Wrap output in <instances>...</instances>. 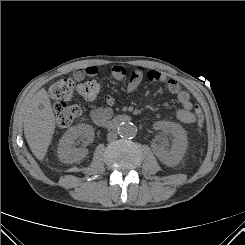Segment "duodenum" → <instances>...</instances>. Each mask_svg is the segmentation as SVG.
<instances>
[{
    "label": "duodenum",
    "instance_id": "obj_1",
    "mask_svg": "<svg viewBox=\"0 0 245 245\" xmlns=\"http://www.w3.org/2000/svg\"><path fill=\"white\" fill-rule=\"evenodd\" d=\"M131 117L128 115H119L113 119H104V120H99L97 122V125L108 128V129H115L118 126H120L123 123L130 122Z\"/></svg>",
    "mask_w": 245,
    "mask_h": 245
}]
</instances>
